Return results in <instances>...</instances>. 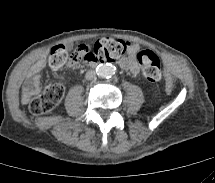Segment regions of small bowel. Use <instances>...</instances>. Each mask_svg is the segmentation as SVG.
Masks as SVG:
<instances>
[{
    "label": "small bowel",
    "mask_w": 215,
    "mask_h": 183,
    "mask_svg": "<svg viewBox=\"0 0 215 183\" xmlns=\"http://www.w3.org/2000/svg\"><path fill=\"white\" fill-rule=\"evenodd\" d=\"M139 51V46L135 43H128L127 45V56L119 60L120 67L131 74H136L139 70L136 62V55ZM77 62L70 59L68 63L69 68L77 66ZM45 60L39 59L29 71V74L22 86V101L27 103L30 99L37 94L42 87L41 83V71L44 68Z\"/></svg>",
    "instance_id": "c3829d8e"
}]
</instances>
